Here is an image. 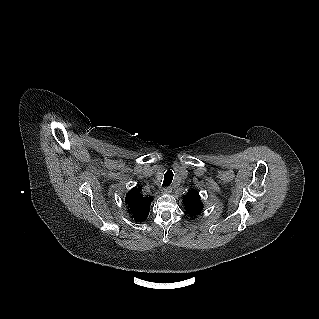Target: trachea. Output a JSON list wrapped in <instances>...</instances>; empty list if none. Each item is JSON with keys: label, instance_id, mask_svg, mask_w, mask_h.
<instances>
[{"label": "trachea", "instance_id": "1", "mask_svg": "<svg viewBox=\"0 0 319 319\" xmlns=\"http://www.w3.org/2000/svg\"><path fill=\"white\" fill-rule=\"evenodd\" d=\"M173 172L171 170L166 171L164 174V181H163V187L169 186L173 180Z\"/></svg>", "mask_w": 319, "mask_h": 319}]
</instances>
